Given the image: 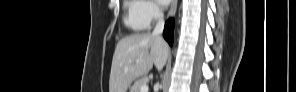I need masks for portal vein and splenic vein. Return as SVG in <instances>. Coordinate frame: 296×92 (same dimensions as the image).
<instances>
[{
	"label": "portal vein and splenic vein",
	"instance_id": "18ae733b",
	"mask_svg": "<svg viewBox=\"0 0 296 92\" xmlns=\"http://www.w3.org/2000/svg\"><path fill=\"white\" fill-rule=\"evenodd\" d=\"M140 92H148V86H147V84H144V85L141 86Z\"/></svg>",
	"mask_w": 296,
	"mask_h": 92
}]
</instances>
